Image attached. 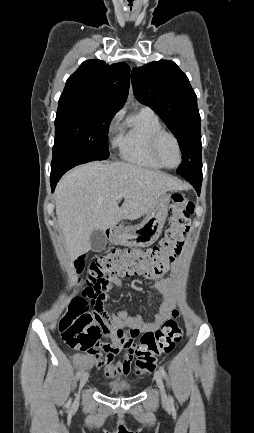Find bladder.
Returning <instances> with one entry per match:
<instances>
[{"label": "bladder", "mask_w": 254, "mask_h": 433, "mask_svg": "<svg viewBox=\"0 0 254 433\" xmlns=\"http://www.w3.org/2000/svg\"><path fill=\"white\" fill-rule=\"evenodd\" d=\"M104 389L114 395L131 394L133 391L129 385L120 382L108 383L104 385Z\"/></svg>", "instance_id": "obj_1"}]
</instances>
